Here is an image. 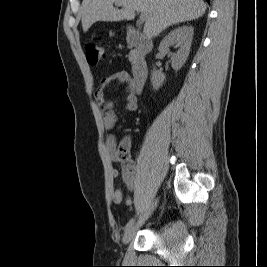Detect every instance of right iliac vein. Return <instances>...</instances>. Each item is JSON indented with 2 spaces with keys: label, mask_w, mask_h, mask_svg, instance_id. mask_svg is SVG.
Listing matches in <instances>:
<instances>
[{
  "label": "right iliac vein",
  "mask_w": 267,
  "mask_h": 267,
  "mask_svg": "<svg viewBox=\"0 0 267 267\" xmlns=\"http://www.w3.org/2000/svg\"><path fill=\"white\" fill-rule=\"evenodd\" d=\"M156 206V202L155 204L152 206V209H154V207ZM136 231V226H131L129 229L126 230L124 236H123V243L124 244H128L131 239L133 238L134 234Z\"/></svg>",
  "instance_id": "right-iliac-vein-1"
}]
</instances>
